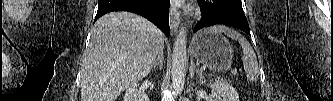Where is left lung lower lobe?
Listing matches in <instances>:
<instances>
[{"label":"left lung lower lobe","instance_id":"obj_1","mask_svg":"<svg viewBox=\"0 0 333 101\" xmlns=\"http://www.w3.org/2000/svg\"><path fill=\"white\" fill-rule=\"evenodd\" d=\"M202 20L194 27V32L215 24H225L238 28L250 35L241 0H198Z\"/></svg>","mask_w":333,"mask_h":101}]
</instances>
